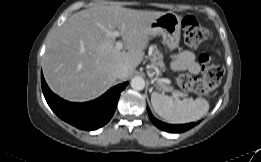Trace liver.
Masks as SVG:
<instances>
[{
  "label": "liver",
  "instance_id": "1",
  "mask_svg": "<svg viewBox=\"0 0 261 162\" xmlns=\"http://www.w3.org/2000/svg\"><path fill=\"white\" fill-rule=\"evenodd\" d=\"M165 12L100 5L71 15L48 42L42 68L47 84L74 102L97 98L111 88L114 68L125 65L128 78L144 58L149 24ZM117 28L127 52L115 49Z\"/></svg>",
  "mask_w": 261,
  "mask_h": 162
}]
</instances>
